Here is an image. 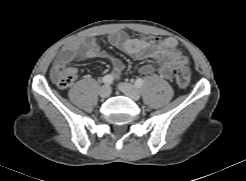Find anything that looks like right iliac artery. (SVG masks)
Masks as SVG:
<instances>
[{"label": "right iliac artery", "mask_w": 246, "mask_h": 181, "mask_svg": "<svg viewBox=\"0 0 246 181\" xmlns=\"http://www.w3.org/2000/svg\"><path fill=\"white\" fill-rule=\"evenodd\" d=\"M113 81V77L112 75L108 74V75H105L103 78H102V82L105 83V84H110L112 83Z\"/></svg>", "instance_id": "1"}]
</instances>
